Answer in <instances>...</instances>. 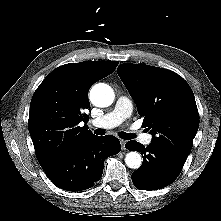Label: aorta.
I'll return each instance as SVG.
<instances>
[{
	"label": "aorta",
	"instance_id": "1",
	"mask_svg": "<svg viewBox=\"0 0 221 221\" xmlns=\"http://www.w3.org/2000/svg\"><path fill=\"white\" fill-rule=\"evenodd\" d=\"M90 100L97 107H108L114 101L113 89L104 83L95 84L90 90ZM125 163L131 169H138L142 164V157L138 152L131 151L127 153Z\"/></svg>",
	"mask_w": 221,
	"mask_h": 221
}]
</instances>
